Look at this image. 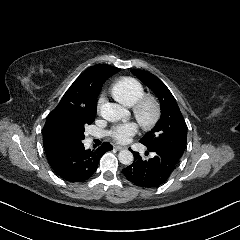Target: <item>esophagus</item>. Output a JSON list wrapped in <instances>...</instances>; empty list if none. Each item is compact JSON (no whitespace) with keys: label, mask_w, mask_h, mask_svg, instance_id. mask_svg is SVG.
<instances>
[{"label":"esophagus","mask_w":240,"mask_h":240,"mask_svg":"<svg viewBox=\"0 0 240 240\" xmlns=\"http://www.w3.org/2000/svg\"><path fill=\"white\" fill-rule=\"evenodd\" d=\"M115 149L116 150H123V149H127L126 146H121V145H115Z\"/></svg>","instance_id":"obj_1"}]
</instances>
